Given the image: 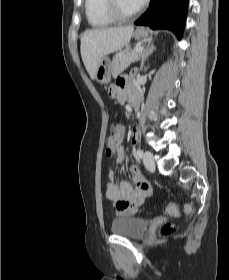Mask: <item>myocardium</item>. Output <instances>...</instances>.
<instances>
[{
  "label": "myocardium",
  "instance_id": "myocardium-1",
  "mask_svg": "<svg viewBox=\"0 0 229 280\" xmlns=\"http://www.w3.org/2000/svg\"><path fill=\"white\" fill-rule=\"evenodd\" d=\"M142 7L137 8L134 12L126 14L120 9L118 0H105L104 10L108 17L115 22H126L135 18L141 11Z\"/></svg>",
  "mask_w": 229,
  "mask_h": 280
}]
</instances>
